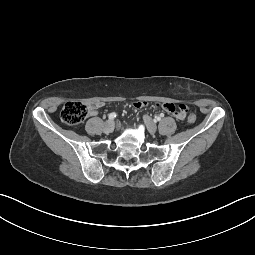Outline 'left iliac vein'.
<instances>
[{"label":"left iliac vein","instance_id":"left-iliac-vein-1","mask_svg":"<svg viewBox=\"0 0 255 255\" xmlns=\"http://www.w3.org/2000/svg\"><path fill=\"white\" fill-rule=\"evenodd\" d=\"M143 120L147 126L149 133L152 135L155 134L157 131V126H156L155 122L152 120V118L148 115H144Z\"/></svg>","mask_w":255,"mask_h":255}]
</instances>
